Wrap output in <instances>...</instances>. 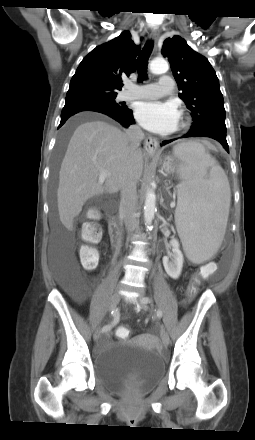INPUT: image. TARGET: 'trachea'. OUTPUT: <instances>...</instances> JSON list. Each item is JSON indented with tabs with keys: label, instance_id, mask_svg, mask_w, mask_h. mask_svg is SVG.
<instances>
[{
	"label": "trachea",
	"instance_id": "3493384b",
	"mask_svg": "<svg viewBox=\"0 0 255 440\" xmlns=\"http://www.w3.org/2000/svg\"><path fill=\"white\" fill-rule=\"evenodd\" d=\"M152 49H153V42L148 41L145 44L142 52L138 56L137 70H138V75H139V79H138L139 82L144 80L147 76V65H148V60H149Z\"/></svg>",
	"mask_w": 255,
	"mask_h": 440
}]
</instances>
